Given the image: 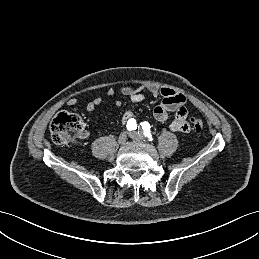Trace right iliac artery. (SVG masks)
Segmentation results:
<instances>
[{
  "label": "right iliac artery",
  "instance_id": "right-iliac-artery-1",
  "mask_svg": "<svg viewBox=\"0 0 259 259\" xmlns=\"http://www.w3.org/2000/svg\"><path fill=\"white\" fill-rule=\"evenodd\" d=\"M126 127H127L128 131L136 130L137 129L136 120L134 118L129 119L128 122H127Z\"/></svg>",
  "mask_w": 259,
  "mask_h": 259
}]
</instances>
